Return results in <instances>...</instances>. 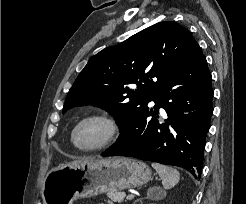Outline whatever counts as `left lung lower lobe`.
<instances>
[{
  "instance_id": "1",
  "label": "left lung lower lobe",
  "mask_w": 246,
  "mask_h": 204,
  "mask_svg": "<svg viewBox=\"0 0 246 204\" xmlns=\"http://www.w3.org/2000/svg\"><path fill=\"white\" fill-rule=\"evenodd\" d=\"M211 79L206 58L197 44L102 156L135 157L179 166L200 178L213 113ZM151 101L155 106L149 111L147 105ZM149 116L153 117L147 121Z\"/></svg>"
}]
</instances>
